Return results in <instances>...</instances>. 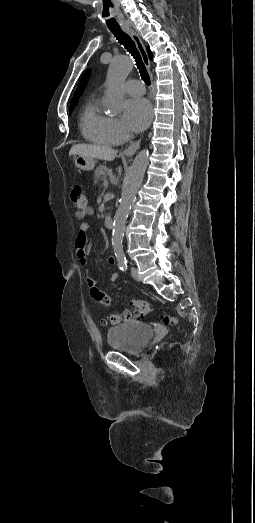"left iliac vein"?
Returning a JSON list of instances; mask_svg holds the SVG:
<instances>
[{
  "label": "left iliac vein",
  "instance_id": "obj_1",
  "mask_svg": "<svg viewBox=\"0 0 255 523\" xmlns=\"http://www.w3.org/2000/svg\"><path fill=\"white\" fill-rule=\"evenodd\" d=\"M131 275L135 280L140 281L138 270L135 267L131 268Z\"/></svg>",
  "mask_w": 255,
  "mask_h": 523
}]
</instances>
